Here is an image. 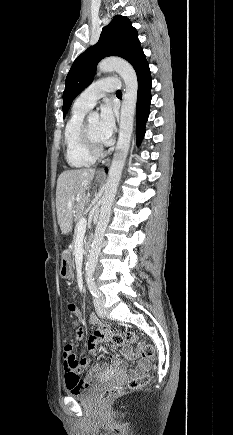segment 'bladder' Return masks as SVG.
<instances>
[{
	"mask_svg": "<svg viewBox=\"0 0 233 435\" xmlns=\"http://www.w3.org/2000/svg\"><path fill=\"white\" fill-rule=\"evenodd\" d=\"M99 384V382H92L86 387L85 390L78 393L67 391V395L78 401H88L95 396Z\"/></svg>",
	"mask_w": 233,
	"mask_h": 435,
	"instance_id": "1",
	"label": "bladder"
}]
</instances>
